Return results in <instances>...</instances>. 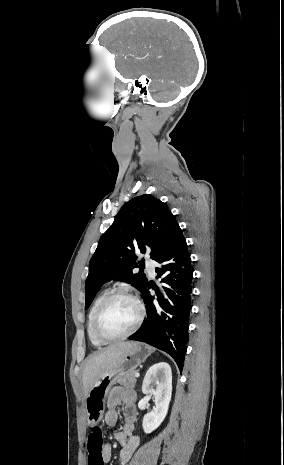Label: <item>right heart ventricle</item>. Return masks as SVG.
<instances>
[{
	"instance_id": "1",
	"label": "right heart ventricle",
	"mask_w": 284,
	"mask_h": 465,
	"mask_svg": "<svg viewBox=\"0 0 284 465\" xmlns=\"http://www.w3.org/2000/svg\"><path fill=\"white\" fill-rule=\"evenodd\" d=\"M108 296H109V292L107 290L100 292L93 300L90 306V309L88 311V315L86 319V332H87L88 340L92 346H103V344L99 343L93 336L92 321H93L94 314L97 311L98 307Z\"/></svg>"
}]
</instances>
